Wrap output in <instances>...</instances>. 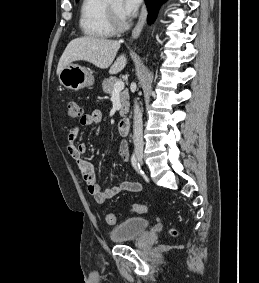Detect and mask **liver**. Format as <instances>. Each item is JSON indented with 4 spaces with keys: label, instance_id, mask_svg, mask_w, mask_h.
Instances as JSON below:
<instances>
[{
    "label": "liver",
    "instance_id": "6515ba94",
    "mask_svg": "<svg viewBox=\"0 0 259 283\" xmlns=\"http://www.w3.org/2000/svg\"><path fill=\"white\" fill-rule=\"evenodd\" d=\"M119 48V41L94 36H84L73 39L67 45L59 60L57 75H59L61 70L67 65L80 60L92 63L101 69L110 67L109 73L116 74L127 64V59L124 54L120 55L113 63Z\"/></svg>",
    "mask_w": 259,
    "mask_h": 283
}]
</instances>
